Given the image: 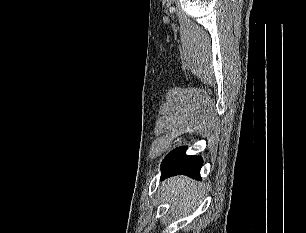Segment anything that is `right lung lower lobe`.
<instances>
[{
  "instance_id": "98d812e1",
  "label": "right lung lower lobe",
  "mask_w": 306,
  "mask_h": 233,
  "mask_svg": "<svg viewBox=\"0 0 306 233\" xmlns=\"http://www.w3.org/2000/svg\"><path fill=\"white\" fill-rule=\"evenodd\" d=\"M186 147H180L170 152L162 163L161 180L177 174H184L191 178L200 179V169L203 160L200 156H188Z\"/></svg>"
}]
</instances>
